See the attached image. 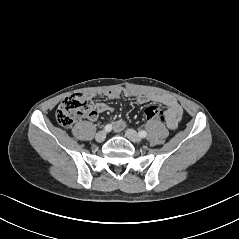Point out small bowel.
<instances>
[{"instance_id":"1","label":"small bowel","mask_w":239,"mask_h":239,"mask_svg":"<svg viewBox=\"0 0 239 239\" xmlns=\"http://www.w3.org/2000/svg\"><path fill=\"white\" fill-rule=\"evenodd\" d=\"M106 96L110 99H119L122 95V92L118 89L109 90L106 93ZM124 95L127 97H134L136 101L140 104L147 102H158L163 104L166 107L165 113V123L169 129H175L178 126V123L182 117V108L178 101L171 96L163 94H137L131 91H125ZM113 107L105 103H97L95 105V110L93 114L89 115L90 120H95L100 113L112 112ZM126 125L125 120L118 119L113 122V129L115 131H122Z\"/></svg>"}]
</instances>
